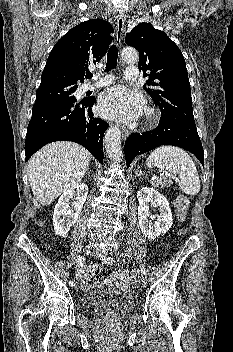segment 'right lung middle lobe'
Here are the masks:
<instances>
[{"label": "right lung middle lobe", "mask_w": 233, "mask_h": 352, "mask_svg": "<svg viewBox=\"0 0 233 352\" xmlns=\"http://www.w3.org/2000/svg\"><path fill=\"white\" fill-rule=\"evenodd\" d=\"M78 86L68 85H49L39 87L36 91L35 104L50 103V102H64L75 101L74 92Z\"/></svg>", "instance_id": "right-lung-middle-lobe-1"}]
</instances>
